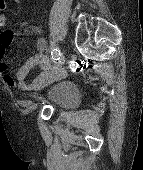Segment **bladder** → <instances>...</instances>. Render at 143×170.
Listing matches in <instances>:
<instances>
[{
    "label": "bladder",
    "mask_w": 143,
    "mask_h": 170,
    "mask_svg": "<svg viewBox=\"0 0 143 170\" xmlns=\"http://www.w3.org/2000/svg\"><path fill=\"white\" fill-rule=\"evenodd\" d=\"M45 100L54 107L71 109L79 104L80 92L74 82L60 80L50 86Z\"/></svg>",
    "instance_id": "bladder-1"
}]
</instances>
